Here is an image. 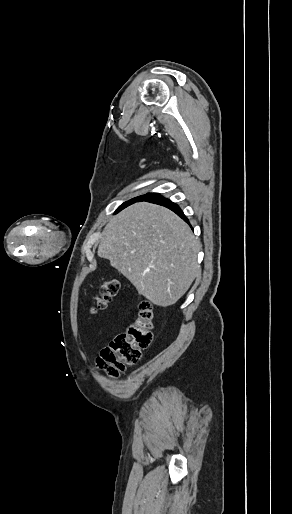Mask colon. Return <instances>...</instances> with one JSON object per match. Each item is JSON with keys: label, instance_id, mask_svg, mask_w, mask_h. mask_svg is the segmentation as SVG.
<instances>
[{"label": "colon", "instance_id": "colon-1", "mask_svg": "<svg viewBox=\"0 0 292 514\" xmlns=\"http://www.w3.org/2000/svg\"><path fill=\"white\" fill-rule=\"evenodd\" d=\"M116 279L105 280L101 291L95 295L93 306L105 309L119 293ZM154 337V322L151 304L141 301L135 308L127 331L115 337L104 347L96 359L97 366L109 377H118L127 367L139 362L142 352L148 349Z\"/></svg>", "mask_w": 292, "mask_h": 514}]
</instances>
